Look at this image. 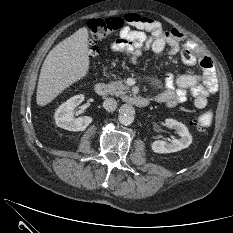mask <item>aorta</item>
Returning a JSON list of instances; mask_svg holds the SVG:
<instances>
[{"mask_svg":"<svg viewBox=\"0 0 233 233\" xmlns=\"http://www.w3.org/2000/svg\"><path fill=\"white\" fill-rule=\"evenodd\" d=\"M135 118V109L130 104H123L119 109V122L123 125H130Z\"/></svg>","mask_w":233,"mask_h":233,"instance_id":"1","label":"aorta"}]
</instances>
